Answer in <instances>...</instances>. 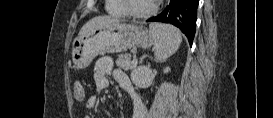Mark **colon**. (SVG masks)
I'll use <instances>...</instances> for the list:
<instances>
[{
    "label": "colon",
    "mask_w": 273,
    "mask_h": 118,
    "mask_svg": "<svg viewBox=\"0 0 273 118\" xmlns=\"http://www.w3.org/2000/svg\"><path fill=\"white\" fill-rule=\"evenodd\" d=\"M73 95H74V98L78 101H81L84 99L85 93H84L83 83L79 80L75 81L73 84Z\"/></svg>",
    "instance_id": "obj_1"
}]
</instances>
